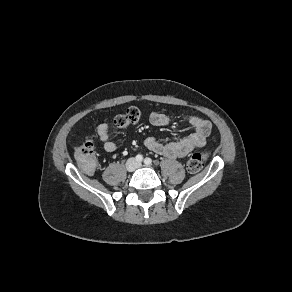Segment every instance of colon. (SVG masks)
I'll use <instances>...</instances> for the list:
<instances>
[{"instance_id": "1", "label": "colon", "mask_w": 292, "mask_h": 292, "mask_svg": "<svg viewBox=\"0 0 292 292\" xmlns=\"http://www.w3.org/2000/svg\"><path fill=\"white\" fill-rule=\"evenodd\" d=\"M141 116L142 114L139 108L130 107L125 112L117 115L113 123L116 128L124 129L132 124L138 123ZM75 155L79 166L84 172H93L96 168L95 138H87L86 141L77 148ZM208 158V150L192 154L187 163L188 170L192 173L200 171Z\"/></svg>"}]
</instances>
